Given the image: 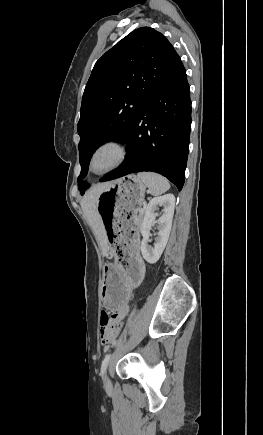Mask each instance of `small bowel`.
<instances>
[{
	"label": "small bowel",
	"mask_w": 263,
	"mask_h": 435,
	"mask_svg": "<svg viewBox=\"0 0 263 435\" xmlns=\"http://www.w3.org/2000/svg\"><path fill=\"white\" fill-rule=\"evenodd\" d=\"M132 260H141V257L139 256L138 253H135L134 256H132ZM142 269L144 271V264L142 261ZM132 290V288H131ZM113 311V315H112V321H105L103 323V328L105 330H107L108 335L111 336V339H115L119 333V328H118V321H122L126 315L128 314L129 311V307L128 305H121L120 310H112ZM104 348H109V343H104Z\"/></svg>",
	"instance_id": "obj_1"
}]
</instances>
